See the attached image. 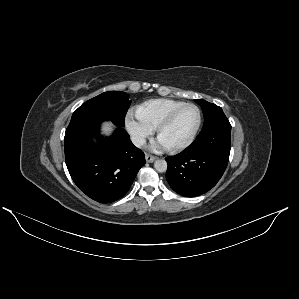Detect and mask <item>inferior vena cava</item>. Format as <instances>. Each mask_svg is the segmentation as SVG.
<instances>
[{
  "label": "inferior vena cava",
  "mask_w": 299,
  "mask_h": 299,
  "mask_svg": "<svg viewBox=\"0 0 299 299\" xmlns=\"http://www.w3.org/2000/svg\"><path fill=\"white\" fill-rule=\"evenodd\" d=\"M131 141L138 148H140L146 144L145 138L142 136H138V135L132 136Z\"/></svg>",
  "instance_id": "1"
}]
</instances>
